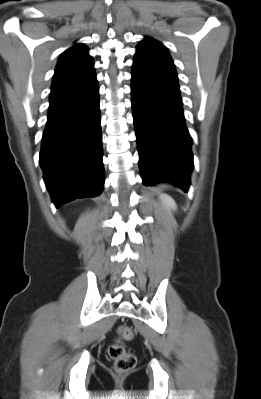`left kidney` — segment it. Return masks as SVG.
<instances>
[{"mask_svg":"<svg viewBox=\"0 0 261 399\" xmlns=\"http://www.w3.org/2000/svg\"><path fill=\"white\" fill-rule=\"evenodd\" d=\"M160 199L162 200L163 204L171 209V210H176L177 206L175 201L167 194H160Z\"/></svg>","mask_w":261,"mask_h":399,"instance_id":"5707ae66","label":"left kidney"}]
</instances>
